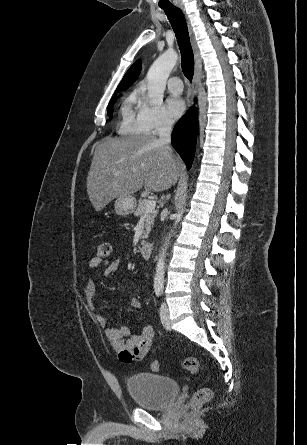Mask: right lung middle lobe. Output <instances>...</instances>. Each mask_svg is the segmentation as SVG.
I'll list each match as a JSON object with an SVG mask.
<instances>
[{
	"label": "right lung middle lobe",
	"mask_w": 307,
	"mask_h": 445,
	"mask_svg": "<svg viewBox=\"0 0 307 445\" xmlns=\"http://www.w3.org/2000/svg\"><path fill=\"white\" fill-rule=\"evenodd\" d=\"M115 101H116V100H115ZM115 101H112L111 104L109 105V108H108V115H110V116H111L110 111H111V109H112L113 104H114Z\"/></svg>",
	"instance_id": "dd1d6c3e"
}]
</instances>
